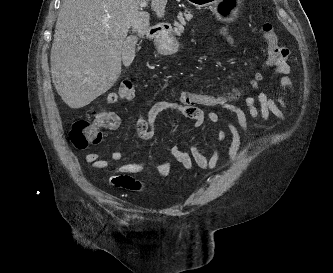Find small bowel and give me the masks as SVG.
<instances>
[{
	"instance_id": "small-bowel-1",
	"label": "small bowel",
	"mask_w": 333,
	"mask_h": 273,
	"mask_svg": "<svg viewBox=\"0 0 333 273\" xmlns=\"http://www.w3.org/2000/svg\"><path fill=\"white\" fill-rule=\"evenodd\" d=\"M220 32L226 40L233 56L236 57L237 44L231 34L230 26L228 24L222 26ZM276 55L277 62H270L269 65L274 68L275 73L279 76L280 92L278 94L269 95L264 91H260L256 97H252L237 93H223L227 94L228 98L231 99V103H235V108L216 110H228L232 112L236 118V122L226 119L218 111L212 110L208 113H204L202 109H196L193 103L184 104L180 99L179 101H170L151 98L145 102L136 121L138 136L144 141L153 139L154 124L157 117L164 111L168 110L183 115L195 126H201L206 119L215 124H224V128L220 127L217 130L215 145L209 157L204 156L200 152L197 143L191 144L189 152L180 150L177 145L166 147L162 162L159 165L156 176L151 184L159 183L168 175L173 161L179 163L189 173H194L195 165H197L201 171L217 169L220 161V152L217 144L226 138L227 132L231 135L228 159L230 162L236 161L240 155L246 153V151L240 153L241 132L245 134L247 144H250L248 116L255 121L261 119L266 122H270L273 118H276L282 124L283 128H286L287 106L285 97L288 92L294 90L293 81L289 76L292 72L290 65V51L285 46H279ZM119 101L132 102L133 96L112 92L107 96L106 100H102V106L99 108L100 113H106L107 118L116 117V122L108 125V128L113 130L119 129L122 125V121L117 115H115L114 111H110L109 107L111 104ZM242 106H244L246 110H244ZM123 156L121 151H113L111 153V159L115 162L121 161ZM85 160L88 163H94L98 168L111 173V182L118 188L129 191H142L148 186V183L132 177V175L139 174L144 170L146 166L145 159H140L133 163L113 165L108 160L102 159L99 152H90L86 155Z\"/></svg>"
}]
</instances>
